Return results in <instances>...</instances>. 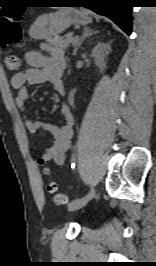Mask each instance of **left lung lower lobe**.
I'll return each mask as SVG.
<instances>
[{
	"mask_svg": "<svg viewBox=\"0 0 156 266\" xmlns=\"http://www.w3.org/2000/svg\"><path fill=\"white\" fill-rule=\"evenodd\" d=\"M64 3V2H58ZM78 7H87L115 22L125 33L131 34L132 0H71Z\"/></svg>",
	"mask_w": 156,
	"mask_h": 266,
	"instance_id": "obj_1",
	"label": "left lung lower lobe"
}]
</instances>
